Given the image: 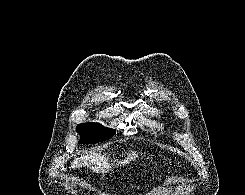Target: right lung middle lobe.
I'll return each instance as SVG.
<instances>
[{
  "instance_id": "1",
  "label": "right lung middle lobe",
  "mask_w": 245,
  "mask_h": 195,
  "mask_svg": "<svg viewBox=\"0 0 245 195\" xmlns=\"http://www.w3.org/2000/svg\"><path fill=\"white\" fill-rule=\"evenodd\" d=\"M76 130L80 133L81 140L79 143L81 144L96 143L107 140L113 137L116 132L114 129L105 128L97 123H84L78 125Z\"/></svg>"
}]
</instances>
